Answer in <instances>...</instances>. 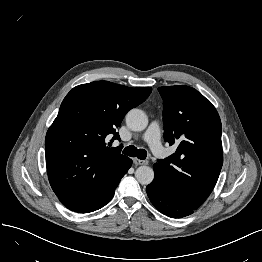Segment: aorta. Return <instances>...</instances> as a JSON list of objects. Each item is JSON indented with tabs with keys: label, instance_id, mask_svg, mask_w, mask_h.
Segmentation results:
<instances>
[{
	"label": "aorta",
	"instance_id": "obj_1",
	"mask_svg": "<svg viewBox=\"0 0 262 262\" xmlns=\"http://www.w3.org/2000/svg\"><path fill=\"white\" fill-rule=\"evenodd\" d=\"M126 124L133 131H142L148 125V117L144 111L134 108L126 115ZM135 177L142 185H149L154 179V171L149 166H140L136 169Z\"/></svg>",
	"mask_w": 262,
	"mask_h": 262
}]
</instances>
